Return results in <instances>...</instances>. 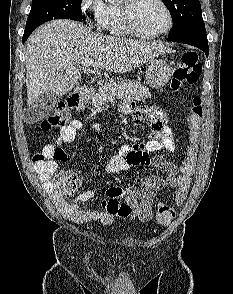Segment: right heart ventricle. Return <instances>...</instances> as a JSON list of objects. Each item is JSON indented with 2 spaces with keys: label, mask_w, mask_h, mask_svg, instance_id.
<instances>
[{
  "label": "right heart ventricle",
  "mask_w": 233,
  "mask_h": 294,
  "mask_svg": "<svg viewBox=\"0 0 233 294\" xmlns=\"http://www.w3.org/2000/svg\"><path fill=\"white\" fill-rule=\"evenodd\" d=\"M102 27L114 36L126 37L131 35L124 23L122 5L107 6V12L103 19Z\"/></svg>",
  "instance_id": "right-heart-ventricle-1"
}]
</instances>
